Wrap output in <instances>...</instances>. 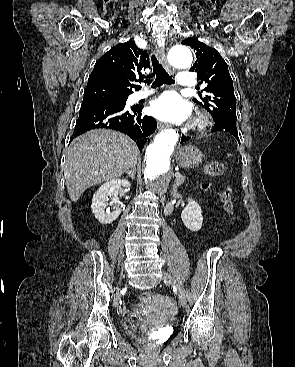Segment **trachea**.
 Masks as SVG:
<instances>
[{"mask_svg":"<svg viewBox=\"0 0 295 367\" xmlns=\"http://www.w3.org/2000/svg\"><path fill=\"white\" fill-rule=\"evenodd\" d=\"M151 61L153 65L152 76L156 75V79L151 86L152 88L160 87L163 84L171 85L175 83V81L169 76V74L165 71L162 65L158 62L154 54L151 56Z\"/></svg>","mask_w":295,"mask_h":367,"instance_id":"1","label":"trachea"}]
</instances>
